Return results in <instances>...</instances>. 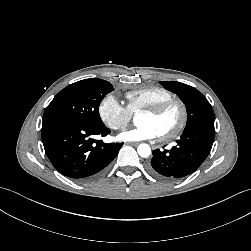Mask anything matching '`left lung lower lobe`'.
<instances>
[{
    "mask_svg": "<svg viewBox=\"0 0 251 251\" xmlns=\"http://www.w3.org/2000/svg\"><path fill=\"white\" fill-rule=\"evenodd\" d=\"M214 141V128L200 126L185 130L177 145L170 150L156 149L148 164L155 177L175 181L194 172L209 155Z\"/></svg>",
    "mask_w": 251,
    "mask_h": 251,
    "instance_id": "left-lung-lower-lobe-1",
    "label": "left lung lower lobe"
}]
</instances>
